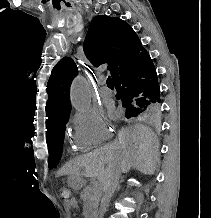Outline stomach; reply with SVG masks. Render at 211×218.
Instances as JSON below:
<instances>
[{
	"mask_svg": "<svg viewBox=\"0 0 211 218\" xmlns=\"http://www.w3.org/2000/svg\"><path fill=\"white\" fill-rule=\"evenodd\" d=\"M68 183L74 189H81L85 185L84 179L78 174H71L68 178Z\"/></svg>",
	"mask_w": 211,
	"mask_h": 218,
	"instance_id": "stomach-1",
	"label": "stomach"
}]
</instances>
